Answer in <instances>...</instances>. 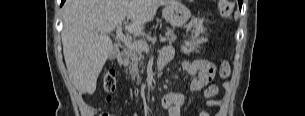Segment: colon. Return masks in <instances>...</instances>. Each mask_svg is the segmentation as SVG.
I'll use <instances>...</instances> for the list:
<instances>
[{"label":"colon","instance_id":"colon-1","mask_svg":"<svg viewBox=\"0 0 305 116\" xmlns=\"http://www.w3.org/2000/svg\"><path fill=\"white\" fill-rule=\"evenodd\" d=\"M218 11L219 14L228 19L232 15L233 5L231 1L228 0H219L218 1ZM231 69L228 63H222L219 68V76L222 79H226L230 76ZM117 87L116 74L113 69H109L105 72L103 77V89L106 93V101H111L112 95L115 92ZM100 116H114V114L110 112H102Z\"/></svg>","mask_w":305,"mask_h":116}]
</instances>
